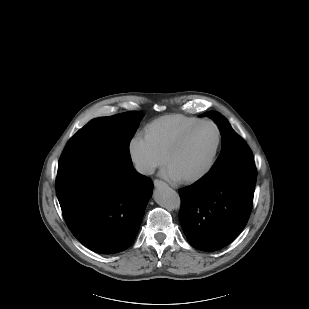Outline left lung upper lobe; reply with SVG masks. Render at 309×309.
Instances as JSON below:
<instances>
[{
	"label": "left lung upper lobe",
	"instance_id": "1",
	"mask_svg": "<svg viewBox=\"0 0 309 309\" xmlns=\"http://www.w3.org/2000/svg\"><path fill=\"white\" fill-rule=\"evenodd\" d=\"M203 116L213 119L222 136L221 153L208 173H213L234 160L252 156V152L245 141L236 134L224 116L216 111L206 112Z\"/></svg>",
	"mask_w": 309,
	"mask_h": 309
}]
</instances>
